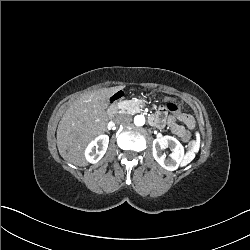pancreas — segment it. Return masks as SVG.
I'll return each mask as SVG.
<instances>
[{"label": "pancreas", "mask_w": 250, "mask_h": 250, "mask_svg": "<svg viewBox=\"0 0 250 250\" xmlns=\"http://www.w3.org/2000/svg\"><path fill=\"white\" fill-rule=\"evenodd\" d=\"M138 104L135 102V101H129V104L127 105L126 107V111L127 112H132L133 110H135V107L137 106Z\"/></svg>", "instance_id": "obj_1"}]
</instances>
